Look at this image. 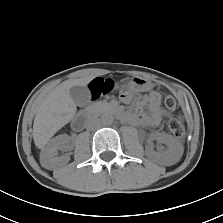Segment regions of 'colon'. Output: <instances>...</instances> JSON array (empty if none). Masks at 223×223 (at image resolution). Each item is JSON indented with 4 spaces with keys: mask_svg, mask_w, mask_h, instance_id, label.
<instances>
[{
    "mask_svg": "<svg viewBox=\"0 0 223 223\" xmlns=\"http://www.w3.org/2000/svg\"><path fill=\"white\" fill-rule=\"evenodd\" d=\"M112 87L113 86L110 81H104L103 83L95 81L92 85V92L95 91L96 88H98V91L101 92V94H106L112 90ZM92 94L94 98V92ZM164 106L168 110H174L176 108V100L172 96H166L164 99ZM166 125L174 136L179 139H184L185 128L180 121L175 118H168L166 120Z\"/></svg>",
    "mask_w": 223,
    "mask_h": 223,
    "instance_id": "1",
    "label": "colon"
}]
</instances>
